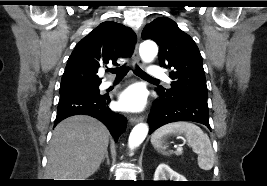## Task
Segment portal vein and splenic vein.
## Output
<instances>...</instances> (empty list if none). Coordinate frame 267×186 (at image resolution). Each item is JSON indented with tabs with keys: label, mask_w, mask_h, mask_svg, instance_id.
Wrapping results in <instances>:
<instances>
[{
	"label": "portal vein and splenic vein",
	"mask_w": 267,
	"mask_h": 186,
	"mask_svg": "<svg viewBox=\"0 0 267 186\" xmlns=\"http://www.w3.org/2000/svg\"><path fill=\"white\" fill-rule=\"evenodd\" d=\"M176 152L177 153H181L182 152V147H177Z\"/></svg>",
	"instance_id": "obj_1"
}]
</instances>
